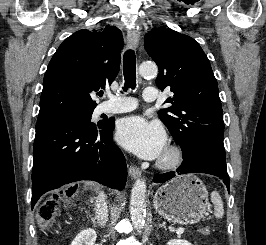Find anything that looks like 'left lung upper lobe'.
I'll return each mask as SVG.
<instances>
[{"label":"left lung upper lobe","instance_id":"left-lung-upper-lobe-1","mask_svg":"<svg viewBox=\"0 0 266 245\" xmlns=\"http://www.w3.org/2000/svg\"><path fill=\"white\" fill-rule=\"evenodd\" d=\"M145 49L159 68L156 85L174 93L158 112L173 139L188 156L201 138L223 142L224 122L218 84L210 62L193 38L170 28H155L145 36Z\"/></svg>","mask_w":266,"mask_h":245}]
</instances>
